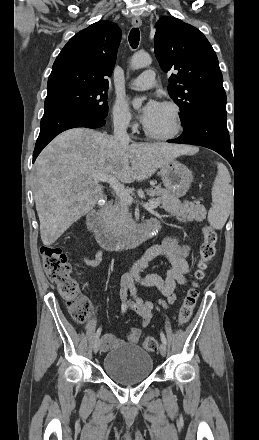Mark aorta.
<instances>
[{"instance_id": "1", "label": "aorta", "mask_w": 259, "mask_h": 440, "mask_svg": "<svg viewBox=\"0 0 259 440\" xmlns=\"http://www.w3.org/2000/svg\"><path fill=\"white\" fill-rule=\"evenodd\" d=\"M152 63V59L147 53H136L132 56L130 66L133 70L141 69L149 66ZM145 98H135L133 100V107L139 109Z\"/></svg>"}]
</instances>
